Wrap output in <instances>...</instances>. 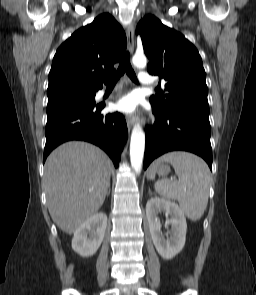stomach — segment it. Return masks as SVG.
<instances>
[{"instance_id":"obj_1","label":"stomach","mask_w":256,"mask_h":295,"mask_svg":"<svg viewBox=\"0 0 256 295\" xmlns=\"http://www.w3.org/2000/svg\"><path fill=\"white\" fill-rule=\"evenodd\" d=\"M156 172L159 175L165 176L170 172V168L168 165L164 164V163H160L157 165L156 167Z\"/></svg>"}]
</instances>
